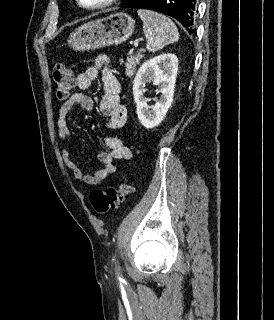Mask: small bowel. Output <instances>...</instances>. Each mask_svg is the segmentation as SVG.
I'll list each match as a JSON object with an SVG mask.
<instances>
[{"label": "small bowel", "instance_id": "1", "mask_svg": "<svg viewBox=\"0 0 274 320\" xmlns=\"http://www.w3.org/2000/svg\"><path fill=\"white\" fill-rule=\"evenodd\" d=\"M99 72H101L104 89L99 105L100 112L108 118L107 126L109 129H121L127 122V109L121 103V84L108 66L106 56L98 57L93 66L77 76V86L82 90L88 89L97 78ZM77 104L88 111L94 108V102L91 97L83 93H73L59 108L57 128L59 137L62 140H66L71 136L68 117L73 107ZM104 144L108 151L100 153L99 162L101 166L93 174L84 173L70 158L69 150L67 148L62 150L61 155L64 164L81 184L98 185L102 183L115 173L114 160L126 161L132 156L130 149L125 145L124 138L120 136H105Z\"/></svg>", "mask_w": 274, "mask_h": 320}]
</instances>
